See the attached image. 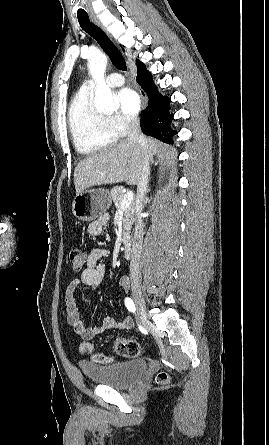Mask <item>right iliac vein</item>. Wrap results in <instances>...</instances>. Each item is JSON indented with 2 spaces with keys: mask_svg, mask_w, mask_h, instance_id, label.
I'll return each mask as SVG.
<instances>
[{
  "mask_svg": "<svg viewBox=\"0 0 269 445\" xmlns=\"http://www.w3.org/2000/svg\"><path fill=\"white\" fill-rule=\"evenodd\" d=\"M133 300L136 305L139 323L143 326L148 324V319L145 312V301L139 288H133Z\"/></svg>",
  "mask_w": 269,
  "mask_h": 445,
  "instance_id": "63e3f726",
  "label": "right iliac vein"
}]
</instances>
